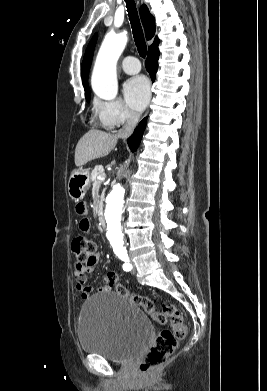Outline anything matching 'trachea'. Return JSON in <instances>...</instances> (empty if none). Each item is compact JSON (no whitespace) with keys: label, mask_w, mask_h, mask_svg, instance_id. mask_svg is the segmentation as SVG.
Listing matches in <instances>:
<instances>
[{"label":"trachea","mask_w":267,"mask_h":391,"mask_svg":"<svg viewBox=\"0 0 267 391\" xmlns=\"http://www.w3.org/2000/svg\"><path fill=\"white\" fill-rule=\"evenodd\" d=\"M134 41L141 57H146L147 46L134 0H125Z\"/></svg>","instance_id":"obj_1"}]
</instances>
